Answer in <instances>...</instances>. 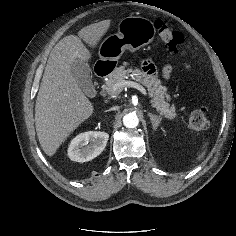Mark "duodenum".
Returning a JSON list of instances; mask_svg holds the SVG:
<instances>
[{
	"mask_svg": "<svg viewBox=\"0 0 236 236\" xmlns=\"http://www.w3.org/2000/svg\"><path fill=\"white\" fill-rule=\"evenodd\" d=\"M112 69L113 68L109 64L98 66L96 69L97 76L99 78H104L112 72Z\"/></svg>",
	"mask_w": 236,
	"mask_h": 236,
	"instance_id": "obj_1",
	"label": "duodenum"
}]
</instances>
